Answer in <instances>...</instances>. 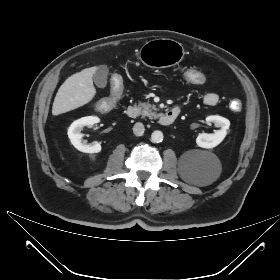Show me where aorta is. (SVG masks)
I'll list each match as a JSON object with an SVG mask.
<instances>
[{
	"mask_svg": "<svg viewBox=\"0 0 280 280\" xmlns=\"http://www.w3.org/2000/svg\"><path fill=\"white\" fill-rule=\"evenodd\" d=\"M163 140V133L159 130H155L152 134H151V141L154 143H159Z\"/></svg>",
	"mask_w": 280,
	"mask_h": 280,
	"instance_id": "obj_1",
	"label": "aorta"
}]
</instances>
